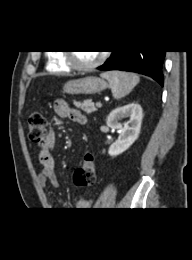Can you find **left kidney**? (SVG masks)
I'll return each instance as SVG.
<instances>
[{
  "mask_svg": "<svg viewBox=\"0 0 192 260\" xmlns=\"http://www.w3.org/2000/svg\"><path fill=\"white\" fill-rule=\"evenodd\" d=\"M124 117H128L129 120L121 124L119 121ZM142 119V107L137 103H129L111 111L107 117L106 124L111 129H116L119 137L109 147L108 154L110 156L114 157L122 154L136 141L140 133Z\"/></svg>",
  "mask_w": 192,
  "mask_h": 260,
  "instance_id": "1",
  "label": "left kidney"
}]
</instances>
